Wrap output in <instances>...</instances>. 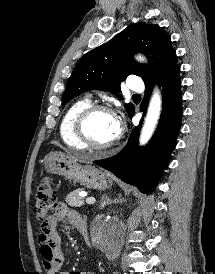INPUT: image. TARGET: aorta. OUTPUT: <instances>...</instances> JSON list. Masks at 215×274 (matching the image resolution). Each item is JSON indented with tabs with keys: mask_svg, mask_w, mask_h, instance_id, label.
<instances>
[{
	"mask_svg": "<svg viewBox=\"0 0 215 274\" xmlns=\"http://www.w3.org/2000/svg\"><path fill=\"white\" fill-rule=\"evenodd\" d=\"M138 60L143 61V58L138 57ZM160 112H161V96L156 91L154 92L152 99L150 101L145 123L141 131V135H140L141 145L146 144L150 140L154 132V129L157 125Z\"/></svg>",
	"mask_w": 215,
	"mask_h": 274,
	"instance_id": "1",
	"label": "aorta"
}]
</instances>
